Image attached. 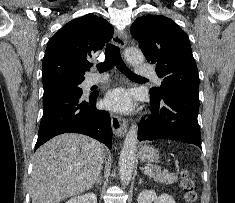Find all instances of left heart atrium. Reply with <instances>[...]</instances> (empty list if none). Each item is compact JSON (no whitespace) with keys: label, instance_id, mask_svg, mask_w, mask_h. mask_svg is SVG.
<instances>
[{"label":"left heart atrium","instance_id":"left-heart-atrium-1","mask_svg":"<svg viewBox=\"0 0 235 203\" xmlns=\"http://www.w3.org/2000/svg\"><path fill=\"white\" fill-rule=\"evenodd\" d=\"M103 105L113 111L128 112L134 105L133 96L127 89H113L106 94Z\"/></svg>","mask_w":235,"mask_h":203}]
</instances>
